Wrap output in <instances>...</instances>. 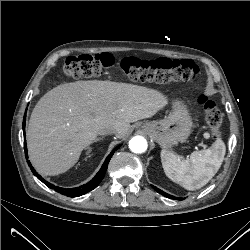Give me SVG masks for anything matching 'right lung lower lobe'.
I'll use <instances>...</instances> for the list:
<instances>
[{
    "label": "right lung lower lobe",
    "instance_id": "right-lung-lower-lobe-1",
    "mask_svg": "<svg viewBox=\"0 0 250 250\" xmlns=\"http://www.w3.org/2000/svg\"><path fill=\"white\" fill-rule=\"evenodd\" d=\"M25 121H26V114L24 115V120H23V131L25 133ZM24 146H25V155H26V158H28V155H27V147H26V141H24ZM121 145L117 146L109 155L108 157L106 158L104 164L102 165L101 169L99 170V172L96 174V176L91 180L89 181L87 184L85 185H82V186H79V187H75V188H61V187H58V186H55L49 182H47L46 180H44L40 175H38V173L35 171V169L32 167L31 163L29 161L28 162V165L29 167L31 168V171L33 172V174L35 176H37V178L39 180H41L44 184H46L49 188L51 189H54L55 191L63 194V195H66V196H69V197H78V196H81L91 190H93L94 188H96L99 183L102 181L104 175H105V172L107 170V167H108V163L112 157V155L114 154V152L120 147Z\"/></svg>",
    "mask_w": 250,
    "mask_h": 250
}]
</instances>
